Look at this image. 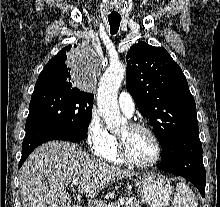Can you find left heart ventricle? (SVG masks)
Returning a JSON list of instances; mask_svg holds the SVG:
<instances>
[{
  "mask_svg": "<svg viewBox=\"0 0 220 207\" xmlns=\"http://www.w3.org/2000/svg\"><path fill=\"white\" fill-rule=\"evenodd\" d=\"M117 136L125 141L128 154L132 160L139 163H147L155 157L154 142L146 131L131 129L127 125Z\"/></svg>",
  "mask_w": 220,
  "mask_h": 207,
  "instance_id": "1",
  "label": "left heart ventricle"
}]
</instances>
